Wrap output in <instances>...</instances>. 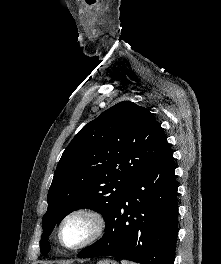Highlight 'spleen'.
Here are the masks:
<instances>
[{"label": "spleen", "mask_w": 221, "mask_h": 264, "mask_svg": "<svg viewBox=\"0 0 221 264\" xmlns=\"http://www.w3.org/2000/svg\"><path fill=\"white\" fill-rule=\"evenodd\" d=\"M121 264H136V263L128 262V261H126V260H122V261H121Z\"/></svg>", "instance_id": "1"}]
</instances>
